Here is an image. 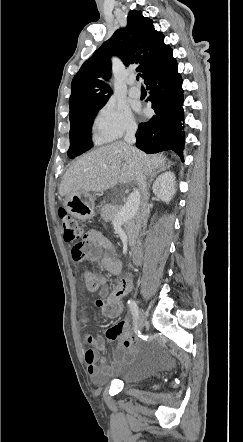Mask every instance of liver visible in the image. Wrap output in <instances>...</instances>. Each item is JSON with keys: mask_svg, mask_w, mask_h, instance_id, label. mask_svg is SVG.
<instances>
[{"mask_svg": "<svg viewBox=\"0 0 243 442\" xmlns=\"http://www.w3.org/2000/svg\"><path fill=\"white\" fill-rule=\"evenodd\" d=\"M133 153L139 159L145 176H151L165 166L166 157L162 154L148 155L124 142H115L99 147L75 161L66 171L59 194L102 193L114 188L118 183L136 180V166Z\"/></svg>", "mask_w": 243, "mask_h": 442, "instance_id": "liver-1", "label": "liver"}]
</instances>
